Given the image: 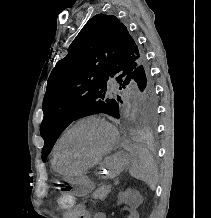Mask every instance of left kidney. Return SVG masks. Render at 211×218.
Returning a JSON list of instances; mask_svg holds the SVG:
<instances>
[{"mask_svg": "<svg viewBox=\"0 0 211 218\" xmlns=\"http://www.w3.org/2000/svg\"><path fill=\"white\" fill-rule=\"evenodd\" d=\"M126 193H139L136 190H131V192H123L121 203L123 207H126L125 214L127 218H138V210L137 207H133L134 203H132V198H126ZM142 204V203H138Z\"/></svg>", "mask_w": 211, "mask_h": 218, "instance_id": "1", "label": "left kidney"}]
</instances>
